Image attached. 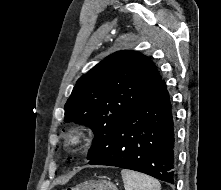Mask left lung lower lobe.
I'll list each match as a JSON object with an SVG mask.
<instances>
[{
  "instance_id": "left-lung-lower-lobe-1",
  "label": "left lung lower lobe",
  "mask_w": 221,
  "mask_h": 190,
  "mask_svg": "<svg viewBox=\"0 0 221 190\" xmlns=\"http://www.w3.org/2000/svg\"><path fill=\"white\" fill-rule=\"evenodd\" d=\"M88 163L131 169L174 184V114L162 79L145 100L116 125L107 147Z\"/></svg>"
}]
</instances>
